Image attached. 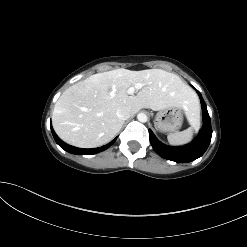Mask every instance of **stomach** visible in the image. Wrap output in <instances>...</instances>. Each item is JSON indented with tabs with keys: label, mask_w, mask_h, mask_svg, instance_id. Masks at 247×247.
<instances>
[{
	"label": "stomach",
	"mask_w": 247,
	"mask_h": 247,
	"mask_svg": "<svg viewBox=\"0 0 247 247\" xmlns=\"http://www.w3.org/2000/svg\"><path fill=\"white\" fill-rule=\"evenodd\" d=\"M183 123V114L180 108L170 107L159 111L154 120L156 128L161 132H176Z\"/></svg>",
	"instance_id": "stomach-1"
}]
</instances>
